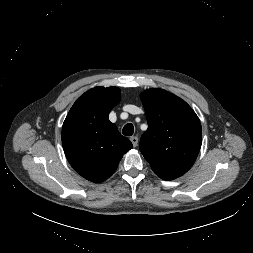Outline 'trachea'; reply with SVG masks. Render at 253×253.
Returning <instances> with one entry per match:
<instances>
[{"mask_svg": "<svg viewBox=\"0 0 253 253\" xmlns=\"http://www.w3.org/2000/svg\"><path fill=\"white\" fill-rule=\"evenodd\" d=\"M122 132H123V135L125 136H132L134 133V126L131 123L126 124L123 127Z\"/></svg>", "mask_w": 253, "mask_h": 253, "instance_id": "1", "label": "trachea"}]
</instances>
